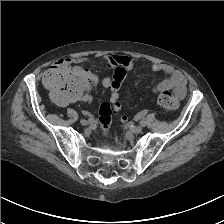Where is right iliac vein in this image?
I'll return each mask as SVG.
<instances>
[{"mask_svg": "<svg viewBox=\"0 0 224 224\" xmlns=\"http://www.w3.org/2000/svg\"><path fill=\"white\" fill-rule=\"evenodd\" d=\"M80 123H81L82 125H88V124H89V122H88L87 120H85V119H81V120H80Z\"/></svg>", "mask_w": 224, "mask_h": 224, "instance_id": "obj_1", "label": "right iliac vein"}]
</instances>
